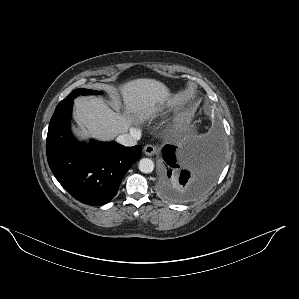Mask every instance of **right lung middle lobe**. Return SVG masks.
I'll return each instance as SVG.
<instances>
[{"mask_svg":"<svg viewBox=\"0 0 299 299\" xmlns=\"http://www.w3.org/2000/svg\"><path fill=\"white\" fill-rule=\"evenodd\" d=\"M87 94H99L98 91L90 90V89H76L72 93H70L64 100H62L58 106L68 103L70 100H73L75 97L79 95H87ZM101 94V93H100Z\"/></svg>","mask_w":299,"mask_h":299,"instance_id":"1","label":"right lung middle lobe"}]
</instances>
